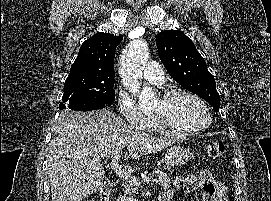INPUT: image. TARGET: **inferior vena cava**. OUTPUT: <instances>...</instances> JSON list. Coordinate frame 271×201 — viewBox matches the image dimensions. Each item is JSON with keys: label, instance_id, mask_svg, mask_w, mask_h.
<instances>
[{"label": "inferior vena cava", "instance_id": "1", "mask_svg": "<svg viewBox=\"0 0 271 201\" xmlns=\"http://www.w3.org/2000/svg\"><path fill=\"white\" fill-rule=\"evenodd\" d=\"M117 201H126V199L124 197H120L117 199Z\"/></svg>", "mask_w": 271, "mask_h": 201}]
</instances>
